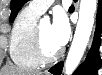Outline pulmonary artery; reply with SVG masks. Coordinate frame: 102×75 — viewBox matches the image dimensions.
<instances>
[{"mask_svg":"<svg viewBox=\"0 0 102 75\" xmlns=\"http://www.w3.org/2000/svg\"><path fill=\"white\" fill-rule=\"evenodd\" d=\"M53 2V0L31 1L28 7L41 15L51 6Z\"/></svg>","mask_w":102,"mask_h":75,"instance_id":"pulmonary-artery-1","label":"pulmonary artery"}]
</instances>
